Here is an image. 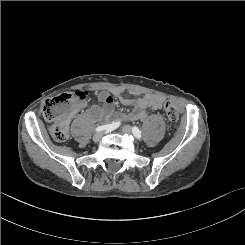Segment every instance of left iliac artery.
<instances>
[{
	"label": "left iliac artery",
	"instance_id": "1",
	"mask_svg": "<svg viewBox=\"0 0 245 245\" xmlns=\"http://www.w3.org/2000/svg\"><path fill=\"white\" fill-rule=\"evenodd\" d=\"M132 132H133V135L137 138V139H141L142 135H141V131L139 130L138 127L134 126L132 128Z\"/></svg>",
	"mask_w": 245,
	"mask_h": 245
}]
</instances>
